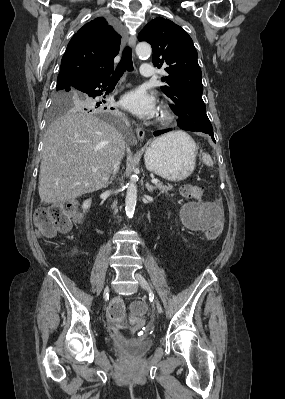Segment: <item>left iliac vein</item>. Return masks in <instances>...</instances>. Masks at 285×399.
I'll return each mask as SVG.
<instances>
[{"label": "left iliac vein", "instance_id": "1", "mask_svg": "<svg viewBox=\"0 0 285 399\" xmlns=\"http://www.w3.org/2000/svg\"><path fill=\"white\" fill-rule=\"evenodd\" d=\"M135 278L138 280L139 284L141 285V287L143 289H145L146 291H150L148 283L146 282L144 277L139 272H135ZM156 307H157V311L159 313L163 312V308L159 302H156Z\"/></svg>", "mask_w": 285, "mask_h": 399}]
</instances>
